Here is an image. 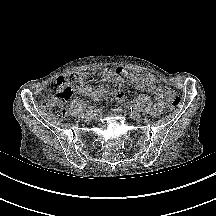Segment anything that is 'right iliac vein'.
I'll return each instance as SVG.
<instances>
[{
	"mask_svg": "<svg viewBox=\"0 0 216 216\" xmlns=\"http://www.w3.org/2000/svg\"><path fill=\"white\" fill-rule=\"evenodd\" d=\"M93 118V114L92 113H87L85 114V116L83 117L84 121L89 122L91 121Z\"/></svg>",
	"mask_w": 216,
	"mask_h": 216,
	"instance_id": "right-iliac-vein-1",
	"label": "right iliac vein"
}]
</instances>
